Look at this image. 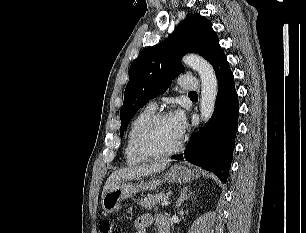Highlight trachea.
<instances>
[{"label":"trachea","mask_w":306,"mask_h":233,"mask_svg":"<svg viewBox=\"0 0 306 233\" xmlns=\"http://www.w3.org/2000/svg\"><path fill=\"white\" fill-rule=\"evenodd\" d=\"M189 94L197 95V92H190Z\"/></svg>","instance_id":"trachea-1"}]
</instances>
